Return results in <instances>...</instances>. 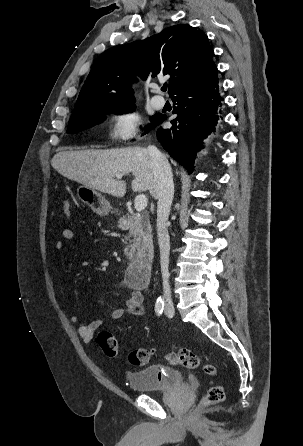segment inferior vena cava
I'll use <instances>...</instances> for the list:
<instances>
[{"instance_id":"inferior-vena-cava-1","label":"inferior vena cava","mask_w":303,"mask_h":446,"mask_svg":"<svg viewBox=\"0 0 303 446\" xmlns=\"http://www.w3.org/2000/svg\"><path fill=\"white\" fill-rule=\"evenodd\" d=\"M154 177L157 184V236L160 248V265L163 280V292L166 301L171 300L169 285L170 237L168 234V217L174 196V183L171 167L165 155L155 146H148Z\"/></svg>"}]
</instances>
